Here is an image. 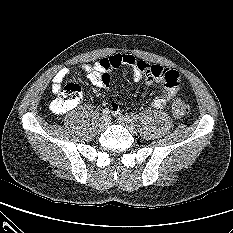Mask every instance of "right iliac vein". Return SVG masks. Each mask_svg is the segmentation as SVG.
I'll use <instances>...</instances> for the list:
<instances>
[{
    "label": "right iliac vein",
    "instance_id": "63e3f726",
    "mask_svg": "<svg viewBox=\"0 0 233 233\" xmlns=\"http://www.w3.org/2000/svg\"><path fill=\"white\" fill-rule=\"evenodd\" d=\"M109 125V119L107 117H101L98 122V127L100 130H104Z\"/></svg>",
    "mask_w": 233,
    "mask_h": 233
}]
</instances>
